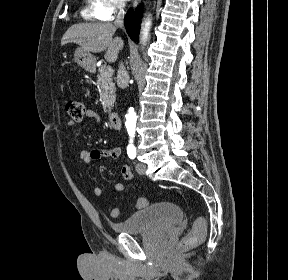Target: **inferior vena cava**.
Wrapping results in <instances>:
<instances>
[{
	"mask_svg": "<svg viewBox=\"0 0 288 280\" xmlns=\"http://www.w3.org/2000/svg\"><path fill=\"white\" fill-rule=\"evenodd\" d=\"M119 12L117 14V17L114 21V24L116 27H123V18H124V5L120 3L118 5ZM129 76L128 73L123 65V63H120L119 69L117 72V84L119 87L124 88L128 85Z\"/></svg>",
	"mask_w": 288,
	"mask_h": 280,
	"instance_id": "obj_1",
	"label": "inferior vena cava"
}]
</instances>
